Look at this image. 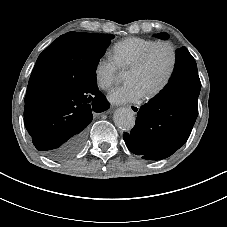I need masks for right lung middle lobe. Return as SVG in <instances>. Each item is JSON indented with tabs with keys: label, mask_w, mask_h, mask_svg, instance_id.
I'll return each mask as SVG.
<instances>
[{
	"label": "right lung middle lobe",
	"mask_w": 227,
	"mask_h": 227,
	"mask_svg": "<svg viewBox=\"0 0 227 227\" xmlns=\"http://www.w3.org/2000/svg\"><path fill=\"white\" fill-rule=\"evenodd\" d=\"M112 34L68 32L54 40L38 57L32 74L48 85L68 91L96 86V68Z\"/></svg>",
	"instance_id": "right-lung-middle-lobe-1"
}]
</instances>
